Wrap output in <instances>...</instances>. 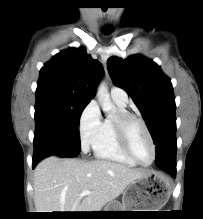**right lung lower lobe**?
I'll return each mask as SVG.
<instances>
[{
	"mask_svg": "<svg viewBox=\"0 0 203 219\" xmlns=\"http://www.w3.org/2000/svg\"><path fill=\"white\" fill-rule=\"evenodd\" d=\"M37 150H39L38 152L40 153V150H42V148L34 149L33 168L38 164V162H39L40 160H42V159L44 158V157H43V154H41V155H36Z\"/></svg>",
	"mask_w": 203,
	"mask_h": 219,
	"instance_id": "98d812e1",
	"label": "right lung lower lobe"
}]
</instances>
